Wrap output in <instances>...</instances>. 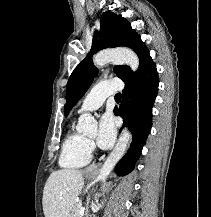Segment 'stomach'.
I'll return each mask as SVG.
<instances>
[{
  "mask_svg": "<svg viewBox=\"0 0 211 217\" xmlns=\"http://www.w3.org/2000/svg\"><path fill=\"white\" fill-rule=\"evenodd\" d=\"M86 177L89 178V179H92V178H94V173L86 172Z\"/></svg>",
  "mask_w": 211,
  "mask_h": 217,
  "instance_id": "0dacf381",
  "label": "stomach"
}]
</instances>
